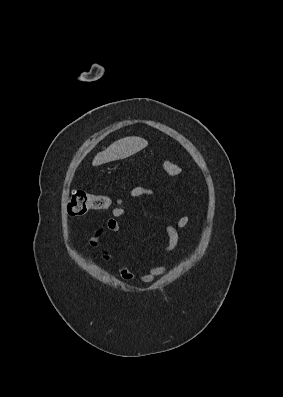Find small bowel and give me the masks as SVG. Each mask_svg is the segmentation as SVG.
Instances as JSON below:
<instances>
[{
    "label": "small bowel",
    "instance_id": "1",
    "mask_svg": "<svg viewBox=\"0 0 283 397\" xmlns=\"http://www.w3.org/2000/svg\"><path fill=\"white\" fill-rule=\"evenodd\" d=\"M130 197H148L154 200H158L156 193L149 188L137 186L130 190L129 192ZM127 213L126 209L123 207H115L111 211V217H109L102 226L97 228L90 240L89 244L92 247H101V253L103 258L106 261H110L112 259V255L109 250L104 247L103 244V230L107 229L111 232L118 233L120 231V223L118 221L119 218L125 216ZM189 224V216L186 212H182L180 215L174 217L173 224L165 225V233L167 235L168 241L167 244L163 247L164 252L172 251L179 242V233L178 229L184 228ZM88 260L92 262V259L88 256ZM166 272V268L164 266H153L149 268L145 272L141 273H134L130 270L127 266L122 265L119 268V275L122 279L126 281H131L138 279L142 283H151L157 277L164 275Z\"/></svg>",
    "mask_w": 283,
    "mask_h": 397
}]
</instances>
